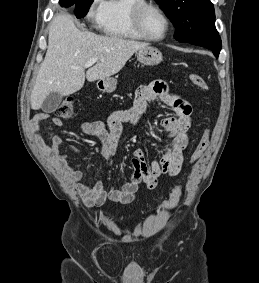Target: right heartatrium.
I'll use <instances>...</instances> for the list:
<instances>
[{
	"label": "right heart atrium",
	"mask_w": 259,
	"mask_h": 283,
	"mask_svg": "<svg viewBox=\"0 0 259 283\" xmlns=\"http://www.w3.org/2000/svg\"><path fill=\"white\" fill-rule=\"evenodd\" d=\"M106 0H92L87 11V18L93 24L99 25L105 8Z\"/></svg>",
	"instance_id": "1"
}]
</instances>
